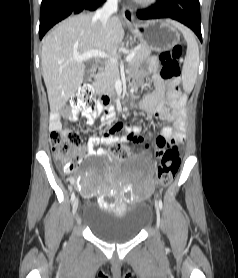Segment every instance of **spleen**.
<instances>
[{"label":"spleen","instance_id":"3e777b00","mask_svg":"<svg viewBox=\"0 0 238 278\" xmlns=\"http://www.w3.org/2000/svg\"><path fill=\"white\" fill-rule=\"evenodd\" d=\"M178 28L187 42V52L182 69V84L185 92L190 93L194 87L199 65V48L193 32L184 25L168 20Z\"/></svg>","mask_w":238,"mask_h":278}]
</instances>
